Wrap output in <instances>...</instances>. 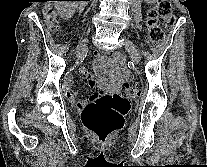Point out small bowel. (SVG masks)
<instances>
[{
	"label": "small bowel",
	"instance_id": "small-bowel-1",
	"mask_svg": "<svg viewBox=\"0 0 207 167\" xmlns=\"http://www.w3.org/2000/svg\"><path fill=\"white\" fill-rule=\"evenodd\" d=\"M79 71L87 77L89 85L98 90V94L93 95L89 99L78 101L76 99L77 92L72 87L73 78L68 76L65 79V90L67 97L72 104L77 105L79 108H85L89 103L95 101L99 94H105L109 90H117L121 81L129 80L131 78V72L125 66H121V72L118 71V68L116 66H111L109 80L100 78L98 81H95L93 76L90 75L86 68L83 66L80 67Z\"/></svg>",
	"mask_w": 207,
	"mask_h": 167
}]
</instances>
